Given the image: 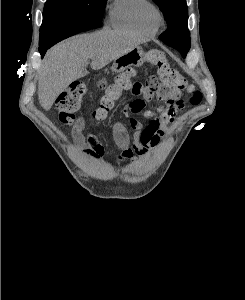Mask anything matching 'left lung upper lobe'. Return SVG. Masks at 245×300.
<instances>
[{
	"label": "left lung upper lobe",
	"mask_w": 245,
	"mask_h": 300,
	"mask_svg": "<svg viewBox=\"0 0 245 300\" xmlns=\"http://www.w3.org/2000/svg\"><path fill=\"white\" fill-rule=\"evenodd\" d=\"M153 2L158 5L168 24L167 30L159 36V39L168 46L180 47L184 52H188L190 32L187 27L186 0H153Z\"/></svg>",
	"instance_id": "obj_1"
}]
</instances>
